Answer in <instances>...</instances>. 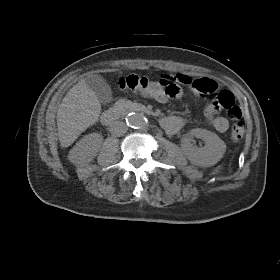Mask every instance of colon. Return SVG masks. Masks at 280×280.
<instances>
[{
	"instance_id": "obj_1",
	"label": "colon",
	"mask_w": 280,
	"mask_h": 280,
	"mask_svg": "<svg viewBox=\"0 0 280 280\" xmlns=\"http://www.w3.org/2000/svg\"><path fill=\"white\" fill-rule=\"evenodd\" d=\"M119 87L123 90L140 92L159 100L176 99L182 95L181 84L176 80L175 76L162 75L158 79H149L138 75H129L119 80ZM215 84L209 82L202 88H198L203 93H214L216 91ZM214 113L223 110L227 117L231 120H239L242 112L236 105L234 96L229 91H221L216 94L212 102ZM244 126L241 122H236L231 130V138L239 141L244 136Z\"/></svg>"
}]
</instances>
